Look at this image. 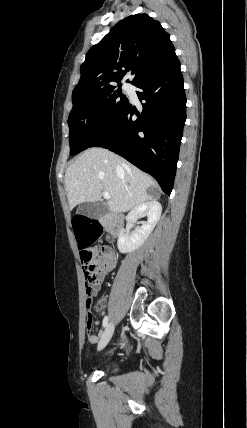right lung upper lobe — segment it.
I'll use <instances>...</instances> for the list:
<instances>
[{"label": "right lung upper lobe", "mask_w": 247, "mask_h": 428, "mask_svg": "<svg viewBox=\"0 0 247 428\" xmlns=\"http://www.w3.org/2000/svg\"><path fill=\"white\" fill-rule=\"evenodd\" d=\"M175 56L170 35L158 21L147 14L131 15L90 48L72 99L116 87L130 70L133 75L131 84L136 85Z\"/></svg>", "instance_id": "right-lung-upper-lobe-1"}]
</instances>
